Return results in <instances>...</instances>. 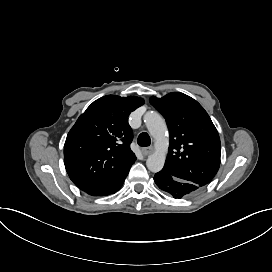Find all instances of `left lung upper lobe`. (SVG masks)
Segmentation results:
<instances>
[{"label":"left lung upper lobe","mask_w":272,"mask_h":272,"mask_svg":"<svg viewBox=\"0 0 272 272\" xmlns=\"http://www.w3.org/2000/svg\"><path fill=\"white\" fill-rule=\"evenodd\" d=\"M150 103L166 119L170 145L163 171L200 187L208 184L220 166V138L209 115L193 98L169 93L152 96Z\"/></svg>","instance_id":"left-lung-upper-lobe-1"}]
</instances>
